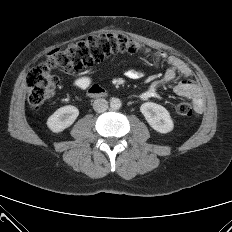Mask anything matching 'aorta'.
Returning a JSON list of instances; mask_svg holds the SVG:
<instances>
[{
    "mask_svg": "<svg viewBox=\"0 0 232 232\" xmlns=\"http://www.w3.org/2000/svg\"><path fill=\"white\" fill-rule=\"evenodd\" d=\"M110 107L113 109V110H117V109H120L121 107V101L119 98H112L110 100Z\"/></svg>",
    "mask_w": 232,
    "mask_h": 232,
    "instance_id": "1",
    "label": "aorta"
}]
</instances>
